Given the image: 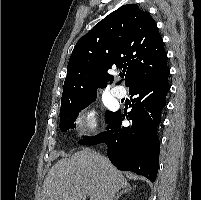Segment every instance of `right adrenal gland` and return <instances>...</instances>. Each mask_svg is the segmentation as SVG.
<instances>
[{
  "label": "right adrenal gland",
  "instance_id": "right-adrenal-gland-1",
  "mask_svg": "<svg viewBox=\"0 0 201 200\" xmlns=\"http://www.w3.org/2000/svg\"><path fill=\"white\" fill-rule=\"evenodd\" d=\"M131 190L130 187H126L125 189L121 190L117 195L115 196L114 200H119V198L124 194L128 193Z\"/></svg>",
  "mask_w": 201,
  "mask_h": 200
}]
</instances>
